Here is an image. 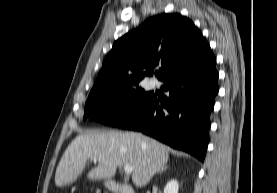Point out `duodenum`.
<instances>
[{"label":"duodenum","instance_id":"duodenum-1","mask_svg":"<svg viewBox=\"0 0 277 193\" xmlns=\"http://www.w3.org/2000/svg\"><path fill=\"white\" fill-rule=\"evenodd\" d=\"M109 187L115 193H136L134 189L128 184H120L112 182L109 184Z\"/></svg>","mask_w":277,"mask_h":193}]
</instances>
